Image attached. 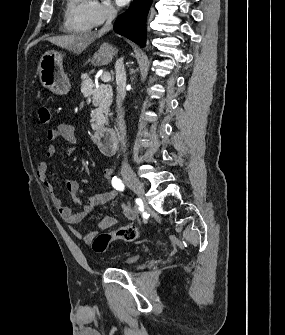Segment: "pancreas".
<instances>
[{
    "label": "pancreas",
    "mask_w": 285,
    "mask_h": 335,
    "mask_svg": "<svg viewBox=\"0 0 285 335\" xmlns=\"http://www.w3.org/2000/svg\"><path fill=\"white\" fill-rule=\"evenodd\" d=\"M90 73L85 71L81 76L80 88L83 93H93V106L95 110H92L91 122L94 125H105L108 124V112L112 104V92L108 86H100L96 88L93 83ZM96 88V90H94Z\"/></svg>",
    "instance_id": "obj_1"
}]
</instances>
